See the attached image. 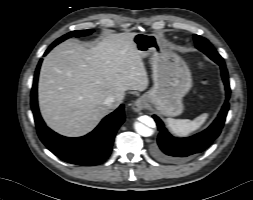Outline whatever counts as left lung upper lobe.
<instances>
[{
  "mask_svg": "<svg viewBox=\"0 0 253 200\" xmlns=\"http://www.w3.org/2000/svg\"><path fill=\"white\" fill-rule=\"evenodd\" d=\"M194 41L196 44V47L205 53L209 58H211L213 61L219 63H224L222 57L218 54V52L214 49V47L211 45V43L198 35H194Z\"/></svg>",
  "mask_w": 253,
  "mask_h": 200,
  "instance_id": "1",
  "label": "left lung upper lobe"
}]
</instances>
